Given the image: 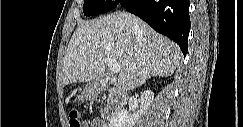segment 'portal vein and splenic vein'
I'll return each mask as SVG.
<instances>
[{
    "mask_svg": "<svg viewBox=\"0 0 243 127\" xmlns=\"http://www.w3.org/2000/svg\"><path fill=\"white\" fill-rule=\"evenodd\" d=\"M105 64L108 66L109 70L113 73H119L121 71L120 64L109 57L105 58Z\"/></svg>",
    "mask_w": 243,
    "mask_h": 127,
    "instance_id": "portal-vein-and-splenic-vein-1",
    "label": "portal vein and splenic vein"
}]
</instances>
